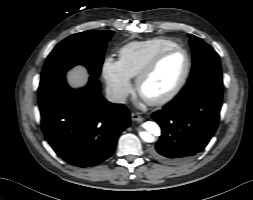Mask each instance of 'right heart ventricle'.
I'll use <instances>...</instances> for the list:
<instances>
[{"label":"right heart ventricle","mask_w":253,"mask_h":200,"mask_svg":"<svg viewBox=\"0 0 253 200\" xmlns=\"http://www.w3.org/2000/svg\"><path fill=\"white\" fill-rule=\"evenodd\" d=\"M174 46H177L175 42L165 38L132 41L120 48L119 62L130 78L136 77L157 53Z\"/></svg>","instance_id":"1"}]
</instances>
